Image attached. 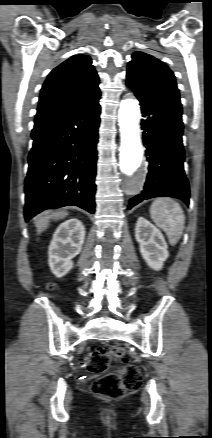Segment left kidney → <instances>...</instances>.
<instances>
[{"label": "left kidney", "instance_id": "obj_1", "mask_svg": "<svg viewBox=\"0 0 212 438\" xmlns=\"http://www.w3.org/2000/svg\"><path fill=\"white\" fill-rule=\"evenodd\" d=\"M135 238L146 263L154 270L162 269L169 254L161 231L147 219L139 217L135 228Z\"/></svg>", "mask_w": 212, "mask_h": 438}]
</instances>
